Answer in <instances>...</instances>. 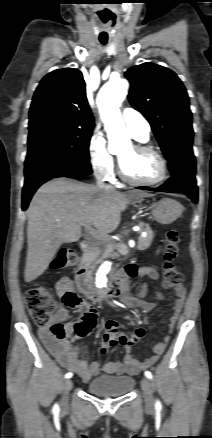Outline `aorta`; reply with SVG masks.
Here are the masks:
<instances>
[{
    "label": "aorta",
    "instance_id": "obj_1",
    "mask_svg": "<svg viewBox=\"0 0 212 438\" xmlns=\"http://www.w3.org/2000/svg\"><path fill=\"white\" fill-rule=\"evenodd\" d=\"M128 87L127 80L118 78L107 82L98 93L97 103L108 134L109 150H114L117 141L128 139L127 129L119 110L120 104L127 95ZM110 269L111 263L106 262L94 274L93 284L97 289L107 288Z\"/></svg>",
    "mask_w": 212,
    "mask_h": 438
}]
</instances>
